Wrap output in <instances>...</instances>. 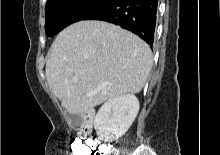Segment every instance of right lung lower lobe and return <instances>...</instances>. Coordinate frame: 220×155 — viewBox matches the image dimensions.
Masks as SVG:
<instances>
[{
	"label": "right lung lower lobe",
	"mask_w": 220,
	"mask_h": 155,
	"mask_svg": "<svg viewBox=\"0 0 220 155\" xmlns=\"http://www.w3.org/2000/svg\"><path fill=\"white\" fill-rule=\"evenodd\" d=\"M158 0H114L84 20L107 21L127 29L150 47L154 41Z\"/></svg>",
	"instance_id": "right-lung-lower-lobe-1"
}]
</instances>
